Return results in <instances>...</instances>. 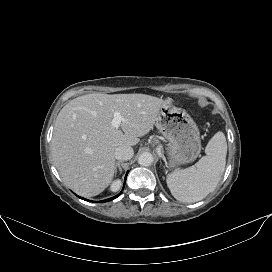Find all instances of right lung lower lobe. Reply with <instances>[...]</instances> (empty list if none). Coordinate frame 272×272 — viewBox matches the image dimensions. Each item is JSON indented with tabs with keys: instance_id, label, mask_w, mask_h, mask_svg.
I'll return each mask as SVG.
<instances>
[{
	"instance_id": "right-lung-lower-lobe-1",
	"label": "right lung lower lobe",
	"mask_w": 272,
	"mask_h": 272,
	"mask_svg": "<svg viewBox=\"0 0 272 272\" xmlns=\"http://www.w3.org/2000/svg\"><path fill=\"white\" fill-rule=\"evenodd\" d=\"M125 179H126V178H125ZM120 194H121V192H120L118 195H116V196H114V197H112V198H109V199L103 200V201H101V202L111 201V200H113V199L117 198V197H118Z\"/></svg>"
}]
</instances>
